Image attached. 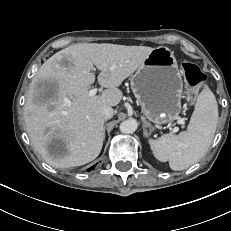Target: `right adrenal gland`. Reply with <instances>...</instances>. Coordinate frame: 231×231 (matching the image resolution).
Listing matches in <instances>:
<instances>
[{"label":"right adrenal gland","instance_id":"right-adrenal-gland-1","mask_svg":"<svg viewBox=\"0 0 231 231\" xmlns=\"http://www.w3.org/2000/svg\"><path fill=\"white\" fill-rule=\"evenodd\" d=\"M105 128H106V124H105L104 127H103V132H104V134H105Z\"/></svg>","mask_w":231,"mask_h":231}]
</instances>
